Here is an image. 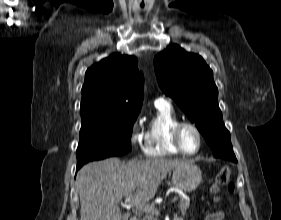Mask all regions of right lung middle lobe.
Here are the masks:
<instances>
[{"mask_svg": "<svg viewBox=\"0 0 281 220\" xmlns=\"http://www.w3.org/2000/svg\"><path fill=\"white\" fill-rule=\"evenodd\" d=\"M136 115L101 116L82 119L77 165L131 151V135Z\"/></svg>", "mask_w": 281, "mask_h": 220, "instance_id": "1", "label": "right lung middle lobe"}]
</instances>
